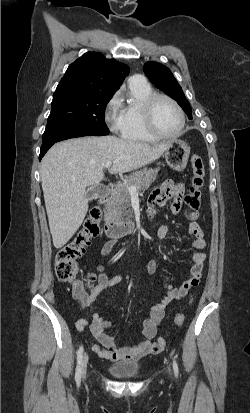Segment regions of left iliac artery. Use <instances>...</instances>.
Masks as SVG:
<instances>
[{
    "mask_svg": "<svg viewBox=\"0 0 250 413\" xmlns=\"http://www.w3.org/2000/svg\"><path fill=\"white\" fill-rule=\"evenodd\" d=\"M173 369H174L175 376L177 377L179 369H178V365L175 359L173 360Z\"/></svg>",
    "mask_w": 250,
    "mask_h": 413,
    "instance_id": "obj_1",
    "label": "left iliac artery"
}]
</instances>
